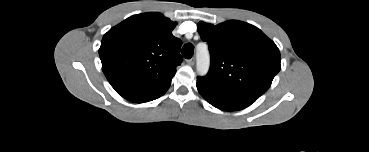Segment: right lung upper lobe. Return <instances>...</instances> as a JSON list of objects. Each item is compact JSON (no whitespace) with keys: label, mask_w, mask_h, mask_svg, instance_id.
Instances as JSON below:
<instances>
[{"label":"right lung upper lobe","mask_w":369,"mask_h":152,"mask_svg":"<svg viewBox=\"0 0 369 152\" xmlns=\"http://www.w3.org/2000/svg\"><path fill=\"white\" fill-rule=\"evenodd\" d=\"M176 26L161 13L133 15L111 28L99 49L102 70L125 99L144 103L162 96L181 64Z\"/></svg>","instance_id":"1"}]
</instances>
